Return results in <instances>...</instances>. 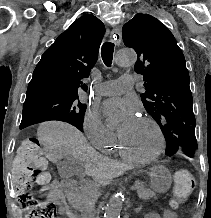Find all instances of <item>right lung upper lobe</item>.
Listing matches in <instances>:
<instances>
[{"label": "right lung upper lobe", "instance_id": "right-lung-upper-lobe-1", "mask_svg": "<svg viewBox=\"0 0 211 218\" xmlns=\"http://www.w3.org/2000/svg\"><path fill=\"white\" fill-rule=\"evenodd\" d=\"M104 32V24L93 15L75 20L42 55L28 85L25 102L78 96L79 88L86 91L87 86L81 80L89 76L98 59Z\"/></svg>", "mask_w": 211, "mask_h": 218}]
</instances>
